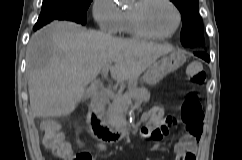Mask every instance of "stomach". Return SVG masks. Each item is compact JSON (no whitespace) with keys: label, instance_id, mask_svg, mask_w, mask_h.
<instances>
[{"label":"stomach","instance_id":"0dacf381","mask_svg":"<svg viewBox=\"0 0 242 160\" xmlns=\"http://www.w3.org/2000/svg\"><path fill=\"white\" fill-rule=\"evenodd\" d=\"M186 57L179 51H172L155 61L144 73L141 80L148 85H156L168 73H171L181 67ZM137 81L129 83V89L135 88Z\"/></svg>","mask_w":242,"mask_h":160}]
</instances>
